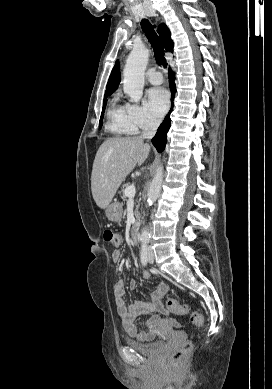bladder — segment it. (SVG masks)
<instances>
[{
  "label": "bladder",
  "instance_id": "31cf9c89",
  "mask_svg": "<svg viewBox=\"0 0 272 389\" xmlns=\"http://www.w3.org/2000/svg\"><path fill=\"white\" fill-rule=\"evenodd\" d=\"M125 343L128 347L145 355H157L165 348V342L161 340L153 341L150 343H141L131 339H126Z\"/></svg>",
  "mask_w": 272,
  "mask_h": 389
}]
</instances>
